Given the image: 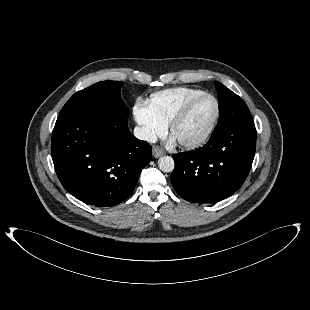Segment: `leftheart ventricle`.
Wrapping results in <instances>:
<instances>
[{"label":"left heart ventricle","instance_id":"obj_1","mask_svg":"<svg viewBox=\"0 0 310 310\" xmlns=\"http://www.w3.org/2000/svg\"><path fill=\"white\" fill-rule=\"evenodd\" d=\"M215 112V104L210 98H203L197 101L190 109L186 118L177 125L174 138L176 140H192L200 136Z\"/></svg>","mask_w":310,"mask_h":310}]
</instances>
